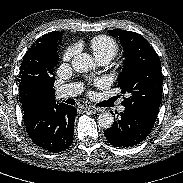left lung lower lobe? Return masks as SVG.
Masks as SVG:
<instances>
[{"instance_id":"obj_1","label":"left lung lower lobe","mask_w":183,"mask_h":183,"mask_svg":"<svg viewBox=\"0 0 183 183\" xmlns=\"http://www.w3.org/2000/svg\"><path fill=\"white\" fill-rule=\"evenodd\" d=\"M121 117L104 134L115 147L128 148L142 142L152 130L155 120L151 116L131 107H125Z\"/></svg>"}]
</instances>
